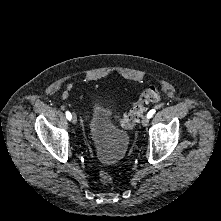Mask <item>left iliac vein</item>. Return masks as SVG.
Segmentation results:
<instances>
[{
	"mask_svg": "<svg viewBox=\"0 0 221 221\" xmlns=\"http://www.w3.org/2000/svg\"><path fill=\"white\" fill-rule=\"evenodd\" d=\"M141 123L143 127H146L149 124V118L147 115L143 116Z\"/></svg>",
	"mask_w": 221,
	"mask_h": 221,
	"instance_id": "obj_1",
	"label": "left iliac vein"
}]
</instances>
